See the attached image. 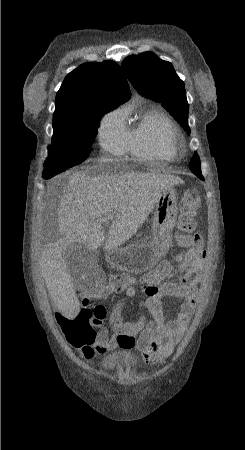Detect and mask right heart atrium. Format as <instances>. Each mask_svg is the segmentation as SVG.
<instances>
[{"mask_svg": "<svg viewBox=\"0 0 245 450\" xmlns=\"http://www.w3.org/2000/svg\"><path fill=\"white\" fill-rule=\"evenodd\" d=\"M98 139L103 149L112 155L127 151V137L124 112L120 109L106 114L99 125Z\"/></svg>", "mask_w": 245, "mask_h": 450, "instance_id": "1", "label": "right heart atrium"}]
</instances>
